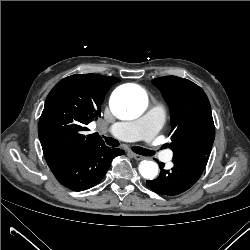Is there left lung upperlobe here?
Wrapping results in <instances>:
<instances>
[{"label": "left lung upper lobe", "instance_id": "1", "mask_svg": "<svg viewBox=\"0 0 250 250\" xmlns=\"http://www.w3.org/2000/svg\"><path fill=\"white\" fill-rule=\"evenodd\" d=\"M170 107L173 159L208 156L215 137L211 106L204 91L190 80L176 76L156 78Z\"/></svg>", "mask_w": 250, "mask_h": 250}]
</instances>
